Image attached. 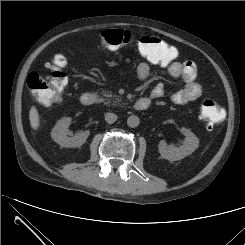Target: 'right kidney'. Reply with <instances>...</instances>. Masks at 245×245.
Here are the masks:
<instances>
[{
    "label": "right kidney",
    "instance_id": "right-kidney-1",
    "mask_svg": "<svg viewBox=\"0 0 245 245\" xmlns=\"http://www.w3.org/2000/svg\"><path fill=\"white\" fill-rule=\"evenodd\" d=\"M71 121L72 119L70 117L62 118L57 122V124L51 132L52 139L62 147H80L86 142L88 136L90 135L89 130L75 135H70L68 132V128L71 124Z\"/></svg>",
    "mask_w": 245,
    "mask_h": 245
}]
</instances>
